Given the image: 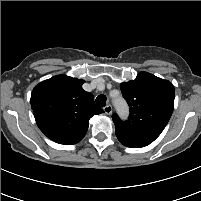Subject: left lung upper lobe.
<instances>
[{"label":"left lung upper lobe","mask_w":201,"mask_h":201,"mask_svg":"<svg viewBox=\"0 0 201 201\" xmlns=\"http://www.w3.org/2000/svg\"><path fill=\"white\" fill-rule=\"evenodd\" d=\"M130 107L128 120L112 115L116 133L153 142L167 125L174 108V87L148 72H140L135 80L120 84Z\"/></svg>","instance_id":"5c2ea615"}]
</instances>
